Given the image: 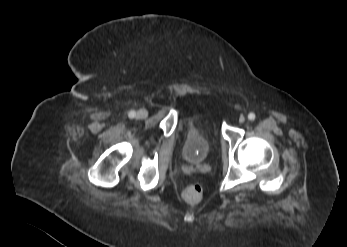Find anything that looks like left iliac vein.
<instances>
[{
    "label": "left iliac vein",
    "mask_w": 347,
    "mask_h": 247,
    "mask_svg": "<svg viewBox=\"0 0 347 247\" xmlns=\"http://www.w3.org/2000/svg\"><path fill=\"white\" fill-rule=\"evenodd\" d=\"M239 122H240V123H244V122H245V117H244V116H241V117L239 118Z\"/></svg>",
    "instance_id": "4c4485c4"
}]
</instances>
